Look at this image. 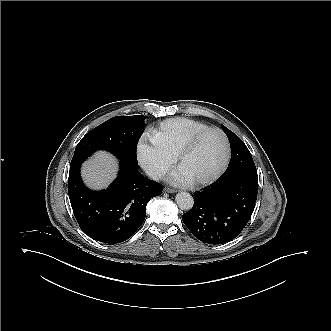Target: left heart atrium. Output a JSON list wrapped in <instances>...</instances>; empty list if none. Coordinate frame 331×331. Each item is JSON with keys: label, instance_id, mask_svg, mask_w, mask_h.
Returning <instances> with one entry per match:
<instances>
[{"label": "left heart atrium", "instance_id": "obj_1", "mask_svg": "<svg viewBox=\"0 0 331 331\" xmlns=\"http://www.w3.org/2000/svg\"><path fill=\"white\" fill-rule=\"evenodd\" d=\"M169 181L176 185H189L192 183L193 179L180 168L171 173Z\"/></svg>", "mask_w": 331, "mask_h": 331}]
</instances>
